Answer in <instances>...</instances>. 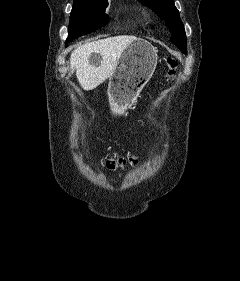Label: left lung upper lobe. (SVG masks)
<instances>
[{
  "mask_svg": "<svg viewBox=\"0 0 240 281\" xmlns=\"http://www.w3.org/2000/svg\"><path fill=\"white\" fill-rule=\"evenodd\" d=\"M146 6H149L165 24L170 28L173 34L171 42L174 43L184 54H187V39L183 23L181 22L179 12L174 5V0H139Z\"/></svg>",
  "mask_w": 240,
  "mask_h": 281,
  "instance_id": "5c2ea615",
  "label": "left lung upper lobe"
}]
</instances>
